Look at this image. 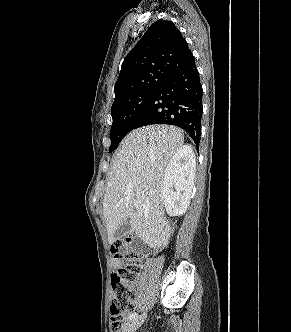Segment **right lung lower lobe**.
Listing matches in <instances>:
<instances>
[{"label": "right lung lower lobe", "instance_id": "1", "mask_svg": "<svg viewBox=\"0 0 291 332\" xmlns=\"http://www.w3.org/2000/svg\"><path fill=\"white\" fill-rule=\"evenodd\" d=\"M203 90L192 61L170 73L136 117L133 129L150 124H169L184 129L198 146L201 136Z\"/></svg>", "mask_w": 291, "mask_h": 332}]
</instances>
